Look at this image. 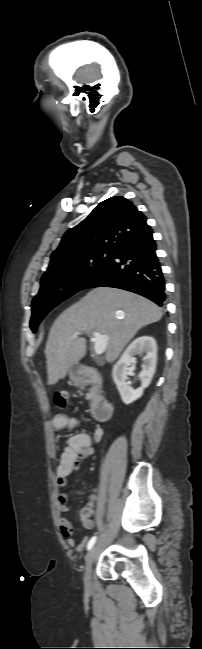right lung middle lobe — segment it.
<instances>
[{
  "instance_id": "1",
  "label": "right lung middle lobe",
  "mask_w": 202,
  "mask_h": 649,
  "mask_svg": "<svg viewBox=\"0 0 202 649\" xmlns=\"http://www.w3.org/2000/svg\"><path fill=\"white\" fill-rule=\"evenodd\" d=\"M113 252L93 251L65 262L58 270L42 276L39 293L32 301L30 328L35 333L38 324L62 301L83 287L112 258Z\"/></svg>"
}]
</instances>
